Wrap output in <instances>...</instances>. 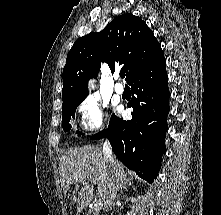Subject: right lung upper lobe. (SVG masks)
I'll use <instances>...</instances> for the list:
<instances>
[{"label":"right lung upper lobe","mask_w":221,"mask_h":215,"mask_svg":"<svg viewBox=\"0 0 221 215\" xmlns=\"http://www.w3.org/2000/svg\"><path fill=\"white\" fill-rule=\"evenodd\" d=\"M162 57L161 45L146 23L132 14H123L103 31L74 43L63 69V104L86 98L87 82L97 77L101 62L108 63L111 72L116 65H122L129 83Z\"/></svg>","instance_id":"obj_1"}]
</instances>
